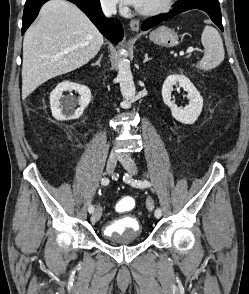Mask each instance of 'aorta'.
Listing matches in <instances>:
<instances>
[{
	"label": "aorta",
	"instance_id": "obj_1",
	"mask_svg": "<svg viewBox=\"0 0 249 294\" xmlns=\"http://www.w3.org/2000/svg\"><path fill=\"white\" fill-rule=\"evenodd\" d=\"M117 79L119 81L120 90L123 97L126 100L133 99L136 94V88L130 69V62L125 57L119 59Z\"/></svg>",
	"mask_w": 249,
	"mask_h": 294
}]
</instances>
